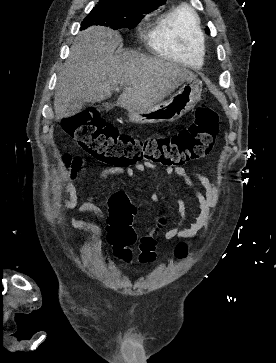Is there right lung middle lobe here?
<instances>
[{
    "mask_svg": "<svg viewBox=\"0 0 276 363\" xmlns=\"http://www.w3.org/2000/svg\"><path fill=\"white\" fill-rule=\"evenodd\" d=\"M157 9V6L145 4L121 5L109 2H100L84 18L81 29L99 25L112 29H132L141 21L145 14Z\"/></svg>",
    "mask_w": 276,
    "mask_h": 363,
    "instance_id": "dd1d6c3e",
    "label": "right lung middle lobe"
}]
</instances>
